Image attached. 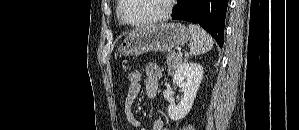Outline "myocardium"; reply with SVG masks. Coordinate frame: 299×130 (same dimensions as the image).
I'll return each mask as SVG.
<instances>
[{"label":"myocardium","mask_w":299,"mask_h":130,"mask_svg":"<svg viewBox=\"0 0 299 130\" xmlns=\"http://www.w3.org/2000/svg\"><path fill=\"white\" fill-rule=\"evenodd\" d=\"M126 1L127 0H120L119 1L118 18H119V20L122 24H124L126 26H129V27H132V28L147 27V26H151V25H154V24L165 21L171 15L172 10H173V6H174V3H175L174 0H167L166 9L160 15H158V16L152 18V19L142 21V22H130V21L125 19L124 14H123V10H124V6H125Z\"/></svg>","instance_id":"obj_1"}]
</instances>
